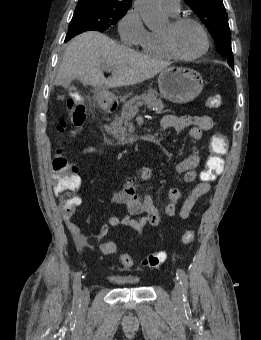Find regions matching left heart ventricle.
I'll use <instances>...</instances> for the list:
<instances>
[{
	"label": "left heart ventricle",
	"mask_w": 261,
	"mask_h": 340,
	"mask_svg": "<svg viewBox=\"0 0 261 340\" xmlns=\"http://www.w3.org/2000/svg\"><path fill=\"white\" fill-rule=\"evenodd\" d=\"M161 33H171L173 45L182 55H194L204 46L200 30L191 23L183 24L172 30L169 22Z\"/></svg>",
	"instance_id": "1"
}]
</instances>
